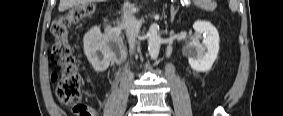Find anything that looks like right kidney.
<instances>
[{"label":"right kidney","mask_w":283,"mask_h":116,"mask_svg":"<svg viewBox=\"0 0 283 116\" xmlns=\"http://www.w3.org/2000/svg\"><path fill=\"white\" fill-rule=\"evenodd\" d=\"M84 52L96 72L105 71L119 52V39L111 30L101 33L100 28H91L83 38Z\"/></svg>","instance_id":"1"}]
</instances>
